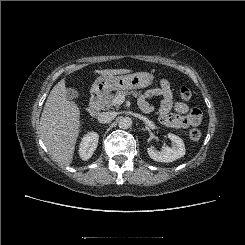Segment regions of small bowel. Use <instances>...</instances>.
I'll return each instance as SVG.
<instances>
[{"label": "small bowel", "mask_w": 245, "mask_h": 245, "mask_svg": "<svg viewBox=\"0 0 245 245\" xmlns=\"http://www.w3.org/2000/svg\"><path fill=\"white\" fill-rule=\"evenodd\" d=\"M153 96H162V101L157 108L161 122L172 128H188L197 126L202 120V113L198 108H190L184 102H174L173 93L168 80L162 78L159 86L155 89L147 90L140 97V106L145 111H152L147 99Z\"/></svg>", "instance_id": "c3829d8e"}]
</instances>
